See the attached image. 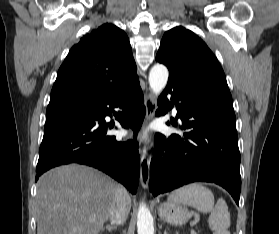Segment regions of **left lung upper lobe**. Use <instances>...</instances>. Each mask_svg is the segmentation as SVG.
I'll return each mask as SVG.
<instances>
[{
  "instance_id": "5c2ea615",
  "label": "left lung upper lobe",
  "mask_w": 279,
  "mask_h": 234,
  "mask_svg": "<svg viewBox=\"0 0 279 234\" xmlns=\"http://www.w3.org/2000/svg\"><path fill=\"white\" fill-rule=\"evenodd\" d=\"M156 60L187 84L231 96L217 58L197 35L182 26L164 34Z\"/></svg>"
}]
</instances>
